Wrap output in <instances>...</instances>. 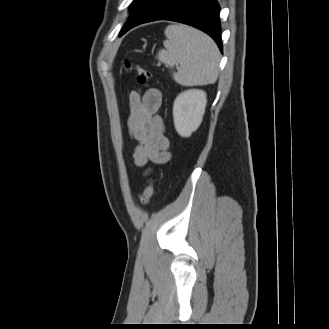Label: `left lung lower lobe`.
<instances>
[{
    "mask_svg": "<svg viewBox=\"0 0 329 329\" xmlns=\"http://www.w3.org/2000/svg\"><path fill=\"white\" fill-rule=\"evenodd\" d=\"M219 11L216 0H146L131 13L120 36L142 23L170 20L202 30L222 51Z\"/></svg>",
    "mask_w": 329,
    "mask_h": 329,
    "instance_id": "0a47b994",
    "label": "left lung lower lobe"
}]
</instances>
